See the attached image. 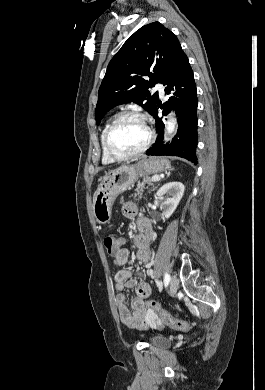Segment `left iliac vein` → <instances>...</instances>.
<instances>
[{
	"label": "left iliac vein",
	"mask_w": 265,
	"mask_h": 390,
	"mask_svg": "<svg viewBox=\"0 0 265 390\" xmlns=\"http://www.w3.org/2000/svg\"><path fill=\"white\" fill-rule=\"evenodd\" d=\"M178 289V278L173 275L170 280V294L174 295Z\"/></svg>",
	"instance_id": "left-iliac-vein-1"
}]
</instances>
